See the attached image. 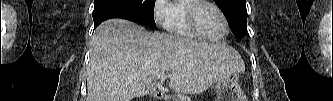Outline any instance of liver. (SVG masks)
I'll list each match as a JSON object with an SVG mask.
<instances>
[{
    "label": "liver",
    "mask_w": 333,
    "mask_h": 101,
    "mask_svg": "<svg viewBox=\"0 0 333 101\" xmlns=\"http://www.w3.org/2000/svg\"><path fill=\"white\" fill-rule=\"evenodd\" d=\"M245 70L239 54L224 44L150 33L125 19L103 22L91 39L86 101H131L153 93L159 74L170 87L200 94Z\"/></svg>",
    "instance_id": "1"
}]
</instances>
